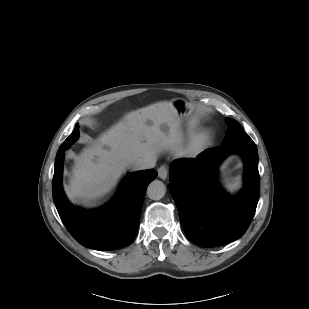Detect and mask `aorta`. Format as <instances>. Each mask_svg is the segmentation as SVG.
Here are the masks:
<instances>
[{
  "instance_id": "1",
  "label": "aorta",
  "mask_w": 309,
  "mask_h": 309,
  "mask_svg": "<svg viewBox=\"0 0 309 309\" xmlns=\"http://www.w3.org/2000/svg\"><path fill=\"white\" fill-rule=\"evenodd\" d=\"M166 193V186L162 181L154 180L147 187V195L152 200H160Z\"/></svg>"
}]
</instances>
